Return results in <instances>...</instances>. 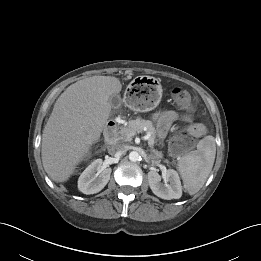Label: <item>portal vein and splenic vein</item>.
<instances>
[{"instance_id": "1", "label": "portal vein and splenic vein", "mask_w": 261, "mask_h": 261, "mask_svg": "<svg viewBox=\"0 0 261 261\" xmlns=\"http://www.w3.org/2000/svg\"><path fill=\"white\" fill-rule=\"evenodd\" d=\"M134 135H135V134H134V133H131V132L127 134L128 137H132V136H134ZM143 138H144V140H149V136H144ZM148 144H149V146L151 145L150 142H148Z\"/></svg>"}]
</instances>
